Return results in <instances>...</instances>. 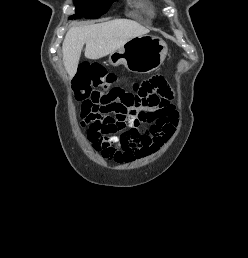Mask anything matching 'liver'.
<instances>
[{
    "mask_svg": "<svg viewBox=\"0 0 248 258\" xmlns=\"http://www.w3.org/2000/svg\"><path fill=\"white\" fill-rule=\"evenodd\" d=\"M149 30L136 21L116 19L108 22L72 27L63 41V62L70 78L76 72L84 44L85 57L96 60L121 48L132 38L143 36Z\"/></svg>",
    "mask_w": 248,
    "mask_h": 258,
    "instance_id": "liver-1",
    "label": "liver"
}]
</instances>
